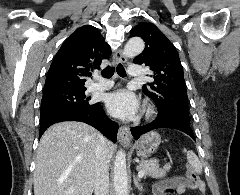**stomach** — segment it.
<instances>
[{
  "label": "stomach",
  "instance_id": "obj_1",
  "mask_svg": "<svg viewBox=\"0 0 240 195\" xmlns=\"http://www.w3.org/2000/svg\"><path fill=\"white\" fill-rule=\"evenodd\" d=\"M160 143V133H158V131H148V133H144V135H141V137L137 139L136 143L132 145V149H135L138 157L144 159V157H150L151 153L156 151Z\"/></svg>",
  "mask_w": 240,
  "mask_h": 195
}]
</instances>
